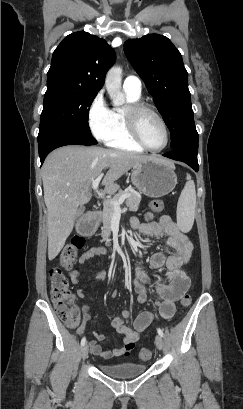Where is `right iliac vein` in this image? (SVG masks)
Listing matches in <instances>:
<instances>
[{"label":"right iliac vein","mask_w":243,"mask_h":409,"mask_svg":"<svg viewBox=\"0 0 243 409\" xmlns=\"http://www.w3.org/2000/svg\"><path fill=\"white\" fill-rule=\"evenodd\" d=\"M88 353H89V347H88V345L86 344V345H84V346L82 347V358H83V359H86L87 356H88Z\"/></svg>","instance_id":"right-iliac-vein-1"}]
</instances>
